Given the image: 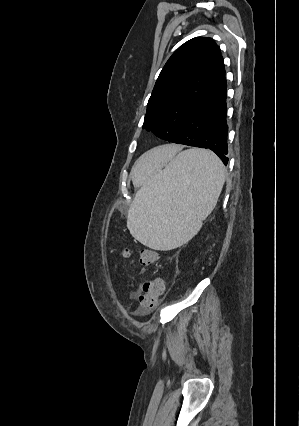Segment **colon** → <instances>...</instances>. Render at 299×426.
<instances>
[{"mask_svg": "<svg viewBox=\"0 0 299 426\" xmlns=\"http://www.w3.org/2000/svg\"><path fill=\"white\" fill-rule=\"evenodd\" d=\"M123 255L125 257H129L131 255V251L129 249H124ZM138 255L139 262L143 266L154 264L159 260L158 252L153 249H142L138 252ZM165 287L166 283L161 275L143 283L137 296L139 308L143 314H149L155 309L159 299L165 292Z\"/></svg>", "mask_w": 299, "mask_h": 426, "instance_id": "1", "label": "colon"}]
</instances>
